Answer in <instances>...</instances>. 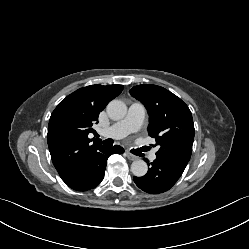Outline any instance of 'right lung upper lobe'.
<instances>
[{
	"mask_svg": "<svg viewBox=\"0 0 249 249\" xmlns=\"http://www.w3.org/2000/svg\"><path fill=\"white\" fill-rule=\"evenodd\" d=\"M123 90L122 85H90L63 99L51 114L47 142L52 162L63 181L76 169L101 141L90 139L98 123L99 113Z\"/></svg>",
	"mask_w": 249,
	"mask_h": 249,
	"instance_id": "right-lung-upper-lobe-1",
	"label": "right lung upper lobe"
}]
</instances>
